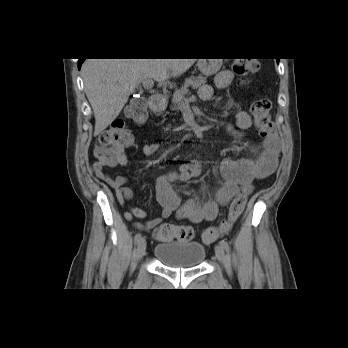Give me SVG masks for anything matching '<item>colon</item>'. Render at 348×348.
I'll return each mask as SVG.
<instances>
[{
  "instance_id": "5ec220e1",
  "label": "colon",
  "mask_w": 348,
  "mask_h": 348,
  "mask_svg": "<svg viewBox=\"0 0 348 348\" xmlns=\"http://www.w3.org/2000/svg\"><path fill=\"white\" fill-rule=\"evenodd\" d=\"M260 67L256 58H238L233 64L234 73L245 83L248 76ZM145 100L134 99L126 109V118L136 124L147 121ZM251 113L259 134L263 137L275 133V126L271 118V102L266 98L258 99L251 105ZM132 143V133L126 127L124 120L113 122L100 136L95 149L97 160L103 164H116L123 151ZM246 205L244 195L236 196L228 209L226 218L217 227H210L203 231L202 240L206 244L215 242L221 235L226 234L243 213ZM154 236L161 241H190L194 237V230L187 225L162 224L155 228Z\"/></svg>"
}]
</instances>
